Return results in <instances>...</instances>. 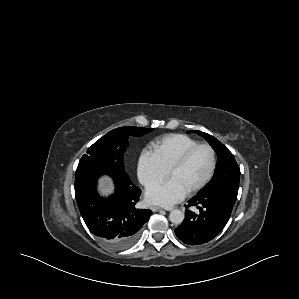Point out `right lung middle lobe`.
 Returning <instances> with one entry per match:
<instances>
[{"label":"right lung middle lobe","mask_w":299,"mask_h":299,"mask_svg":"<svg viewBox=\"0 0 299 299\" xmlns=\"http://www.w3.org/2000/svg\"><path fill=\"white\" fill-rule=\"evenodd\" d=\"M152 130L153 128L133 126L114 129L88 148L87 153L82 156L79 165L93 161L103 162L124 171L123 153L128 146L129 136H142Z\"/></svg>","instance_id":"dd1d6c3e"}]
</instances>
